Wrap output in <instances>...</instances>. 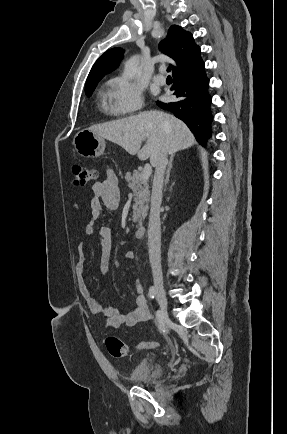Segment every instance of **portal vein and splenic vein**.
<instances>
[{"mask_svg":"<svg viewBox=\"0 0 287 434\" xmlns=\"http://www.w3.org/2000/svg\"><path fill=\"white\" fill-rule=\"evenodd\" d=\"M151 173H152V167L149 164H145L141 178L144 181H148Z\"/></svg>","mask_w":287,"mask_h":434,"instance_id":"18ae733b","label":"portal vein and splenic vein"}]
</instances>
